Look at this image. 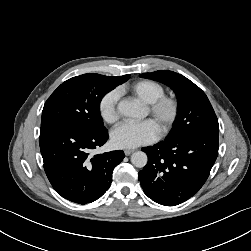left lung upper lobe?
<instances>
[{
	"label": "left lung upper lobe",
	"instance_id": "obj_1",
	"mask_svg": "<svg viewBox=\"0 0 251 251\" xmlns=\"http://www.w3.org/2000/svg\"><path fill=\"white\" fill-rule=\"evenodd\" d=\"M140 77L169 86L177 96V116L164 141L174 142L196 133H219L218 120L210 101L192 81L168 70L144 73Z\"/></svg>",
	"mask_w": 251,
	"mask_h": 251
}]
</instances>
